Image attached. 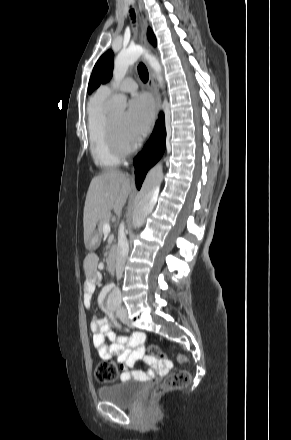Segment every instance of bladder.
Wrapping results in <instances>:
<instances>
[{
    "label": "bladder",
    "mask_w": 291,
    "mask_h": 440,
    "mask_svg": "<svg viewBox=\"0 0 291 440\" xmlns=\"http://www.w3.org/2000/svg\"><path fill=\"white\" fill-rule=\"evenodd\" d=\"M140 394L141 389L138 385L129 380L100 387L97 391V395L101 400L119 406L132 404Z\"/></svg>",
    "instance_id": "1"
}]
</instances>
